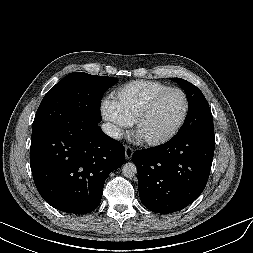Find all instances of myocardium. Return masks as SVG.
I'll list each match as a JSON object with an SVG mask.
<instances>
[{"label": "myocardium", "instance_id": "obj_1", "mask_svg": "<svg viewBox=\"0 0 253 253\" xmlns=\"http://www.w3.org/2000/svg\"><path fill=\"white\" fill-rule=\"evenodd\" d=\"M174 91L179 92L184 99V111L177 125L169 133H167L164 136L157 137V138H148V139L140 138L138 135L139 129L141 125L143 124V122L145 121V119L149 116V114L153 110L154 106L164 95H166L169 92H174ZM189 108H190L189 99L184 90L178 87L166 88L156 93L144 106L143 110L140 112V114L138 115V117L136 118L134 122V131H133L134 135L140 140L141 143L145 145H148V146L163 145L171 141L181 131L188 117Z\"/></svg>", "mask_w": 253, "mask_h": 253}]
</instances>
